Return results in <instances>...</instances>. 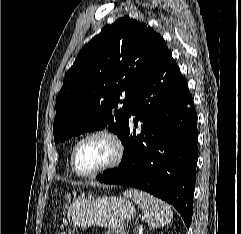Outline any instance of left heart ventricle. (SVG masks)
Here are the masks:
<instances>
[{
    "instance_id": "b2bd125f",
    "label": "left heart ventricle",
    "mask_w": 241,
    "mask_h": 234,
    "mask_svg": "<svg viewBox=\"0 0 241 234\" xmlns=\"http://www.w3.org/2000/svg\"><path fill=\"white\" fill-rule=\"evenodd\" d=\"M114 147L105 137H94L83 142L76 153V165L81 172H92L112 160Z\"/></svg>"
}]
</instances>
